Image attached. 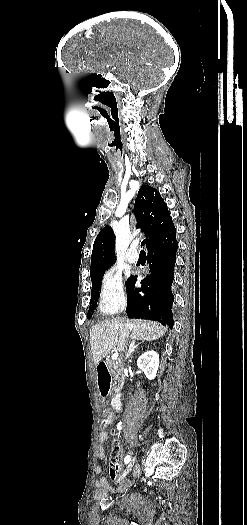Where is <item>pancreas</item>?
<instances>
[{"instance_id": "1", "label": "pancreas", "mask_w": 247, "mask_h": 525, "mask_svg": "<svg viewBox=\"0 0 247 525\" xmlns=\"http://www.w3.org/2000/svg\"><path fill=\"white\" fill-rule=\"evenodd\" d=\"M106 363H107L108 369H110L111 375H113L114 377L115 383H117L118 385V383H120V381H123L124 379V375L121 371V367L120 365H118L119 363L118 359H116V361H113L111 357H108V359H106Z\"/></svg>"}]
</instances>
